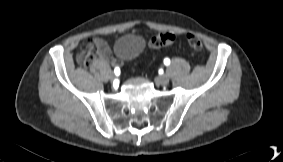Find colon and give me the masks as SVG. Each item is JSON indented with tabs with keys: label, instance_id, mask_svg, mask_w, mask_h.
<instances>
[{
	"label": "colon",
	"instance_id": "1",
	"mask_svg": "<svg viewBox=\"0 0 283 162\" xmlns=\"http://www.w3.org/2000/svg\"><path fill=\"white\" fill-rule=\"evenodd\" d=\"M186 40H187L189 46L191 48H193L194 50L202 49V42L197 36H195L193 34H187ZM174 41H175V35L174 34L168 33V32H163V33H160V34L156 35L155 37H153L150 45H151V47H153L155 49H159V48H163V47L171 45ZM91 58H92V55L90 53L81 52L77 57V62L80 65L86 66V65L89 64Z\"/></svg>",
	"mask_w": 283,
	"mask_h": 162
}]
</instances>
